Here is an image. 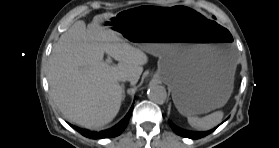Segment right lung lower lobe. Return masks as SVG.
I'll return each mask as SVG.
<instances>
[{"label":"right lung lower lobe","mask_w":279,"mask_h":148,"mask_svg":"<svg viewBox=\"0 0 279 148\" xmlns=\"http://www.w3.org/2000/svg\"><path fill=\"white\" fill-rule=\"evenodd\" d=\"M132 109L133 106L131 107L130 111L128 112V114L126 115V117L119 122L116 126H114L111 129L105 130V131H101V132H91L88 130H83L80 129L78 127H75L73 125H71L74 129H76L78 132H80L82 135H84L85 137L91 138V139H100V138H107V137H116L118 135H120L124 129L126 128L131 113H132Z\"/></svg>","instance_id":"obj_1"}]
</instances>
